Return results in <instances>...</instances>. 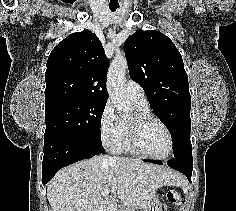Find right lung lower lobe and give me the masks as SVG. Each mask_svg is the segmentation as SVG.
<instances>
[{
  "mask_svg": "<svg viewBox=\"0 0 236 211\" xmlns=\"http://www.w3.org/2000/svg\"><path fill=\"white\" fill-rule=\"evenodd\" d=\"M102 152L101 143L85 137L64 135L44 138L42 183L50 181L59 169Z\"/></svg>",
  "mask_w": 236,
  "mask_h": 211,
  "instance_id": "98d812e1",
  "label": "right lung lower lobe"
}]
</instances>
